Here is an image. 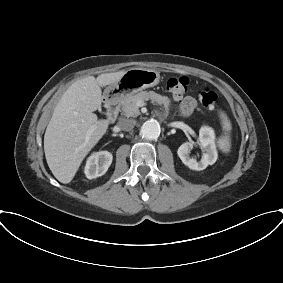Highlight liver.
<instances>
[{"mask_svg": "<svg viewBox=\"0 0 283 283\" xmlns=\"http://www.w3.org/2000/svg\"><path fill=\"white\" fill-rule=\"evenodd\" d=\"M126 71L88 76L74 82L54 109L44 135V152L54 177L67 184L83 159L106 133L107 120L94 113L102 103L101 87L117 82Z\"/></svg>", "mask_w": 283, "mask_h": 283, "instance_id": "6515ba94", "label": "liver"}]
</instances>
